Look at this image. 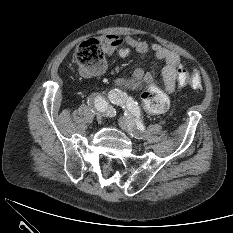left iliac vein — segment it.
<instances>
[{
	"instance_id": "1",
	"label": "left iliac vein",
	"mask_w": 233,
	"mask_h": 233,
	"mask_svg": "<svg viewBox=\"0 0 233 233\" xmlns=\"http://www.w3.org/2000/svg\"><path fill=\"white\" fill-rule=\"evenodd\" d=\"M119 124L122 129L132 138L141 139L143 134L142 132L136 128L130 117H121L119 120Z\"/></svg>"
}]
</instances>
